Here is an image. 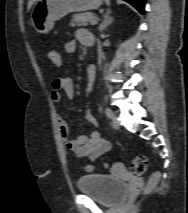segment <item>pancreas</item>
Returning a JSON list of instances; mask_svg holds the SVG:
<instances>
[{
    "mask_svg": "<svg viewBox=\"0 0 188 213\" xmlns=\"http://www.w3.org/2000/svg\"><path fill=\"white\" fill-rule=\"evenodd\" d=\"M95 15L93 13H78L72 16V20L70 22L71 27H80L86 26L91 19H93Z\"/></svg>",
    "mask_w": 188,
    "mask_h": 213,
    "instance_id": "1",
    "label": "pancreas"
}]
</instances>
